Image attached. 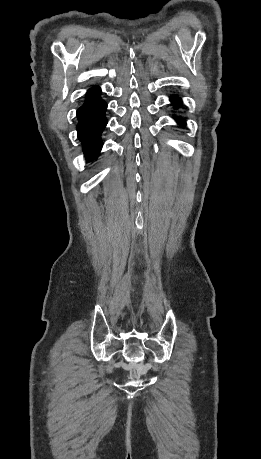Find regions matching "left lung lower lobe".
I'll return each mask as SVG.
<instances>
[{
	"mask_svg": "<svg viewBox=\"0 0 261 459\" xmlns=\"http://www.w3.org/2000/svg\"><path fill=\"white\" fill-rule=\"evenodd\" d=\"M171 101L173 102V104L176 106V107H179L180 106V103H181V100L176 97V96H172L171 97ZM181 124H184L183 121H180Z\"/></svg>",
	"mask_w": 261,
	"mask_h": 459,
	"instance_id": "left-lung-lower-lobe-1",
	"label": "left lung lower lobe"
}]
</instances>
